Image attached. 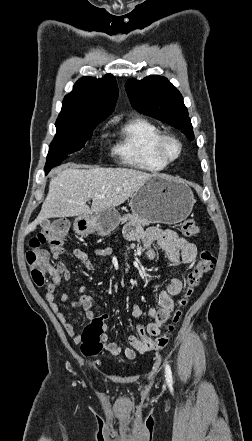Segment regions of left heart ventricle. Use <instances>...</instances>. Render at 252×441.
Listing matches in <instances>:
<instances>
[{"label":"left heart ventricle","instance_id":"1","mask_svg":"<svg viewBox=\"0 0 252 441\" xmlns=\"http://www.w3.org/2000/svg\"><path fill=\"white\" fill-rule=\"evenodd\" d=\"M166 154L170 157H174L177 154L178 147L175 143H167L165 147Z\"/></svg>","mask_w":252,"mask_h":441}]
</instances>
